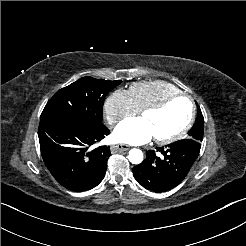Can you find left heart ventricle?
<instances>
[{
    "label": "left heart ventricle",
    "instance_id": "obj_1",
    "mask_svg": "<svg viewBox=\"0 0 246 246\" xmlns=\"http://www.w3.org/2000/svg\"><path fill=\"white\" fill-rule=\"evenodd\" d=\"M190 113V104L185 98L171 101L158 112H149L141 119L151 130L154 138H165L175 134L186 123Z\"/></svg>",
    "mask_w": 246,
    "mask_h": 246
}]
</instances>
